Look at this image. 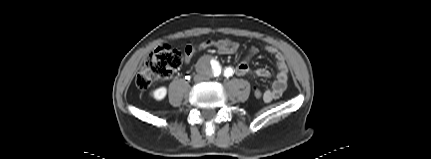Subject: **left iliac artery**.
<instances>
[{"mask_svg": "<svg viewBox=\"0 0 431 159\" xmlns=\"http://www.w3.org/2000/svg\"><path fill=\"white\" fill-rule=\"evenodd\" d=\"M233 73H232V70H231V68H227L225 71H224V75L226 76V77H229L230 75H232ZM215 75H218L217 73L215 74Z\"/></svg>", "mask_w": 431, "mask_h": 159, "instance_id": "left-iliac-artery-1", "label": "left iliac artery"}]
</instances>
